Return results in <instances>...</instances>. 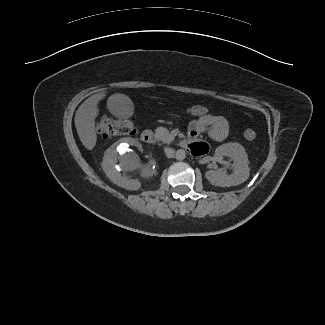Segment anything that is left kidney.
I'll use <instances>...</instances> for the list:
<instances>
[{
    "mask_svg": "<svg viewBox=\"0 0 325 325\" xmlns=\"http://www.w3.org/2000/svg\"><path fill=\"white\" fill-rule=\"evenodd\" d=\"M215 155L222 159L229 157L234 161L232 174L228 175L222 170H209L205 173L207 180L220 187L236 186L249 178V161L245 148L236 142H229L216 148Z\"/></svg>",
    "mask_w": 325,
    "mask_h": 325,
    "instance_id": "1",
    "label": "left kidney"
}]
</instances>
